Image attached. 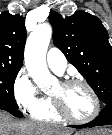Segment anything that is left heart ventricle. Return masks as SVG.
I'll return each instance as SVG.
<instances>
[{
	"label": "left heart ventricle",
	"mask_w": 112,
	"mask_h": 135,
	"mask_svg": "<svg viewBox=\"0 0 112 135\" xmlns=\"http://www.w3.org/2000/svg\"><path fill=\"white\" fill-rule=\"evenodd\" d=\"M50 95L58 98L66 111L77 118H85L92 112V98L82 85L63 86L58 83Z\"/></svg>",
	"instance_id": "obj_1"
}]
</instances>
